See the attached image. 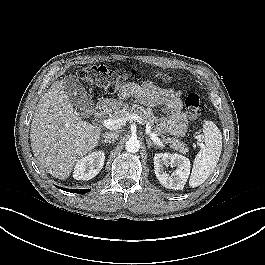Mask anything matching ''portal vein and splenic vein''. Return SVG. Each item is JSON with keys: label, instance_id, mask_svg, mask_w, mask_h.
I'll return each instance as SVG.
<instances>
[{"label": "portal vein and splenic vein", "instance_id": "obj_1", "mask_svg": "<svg viewBox=\"0 0 265 265\" xmlns=\"http://www.w3.org/2000/svg\"><path fill=\"white\" fill-rule=\"evenodd\" d=\"M129 120L138 121L140 123H142L143 121L140 116L132 113V114H128L125 117H121L118 119H106V120H103L102 123L107 129L118 130L121 128V126L125 124L126 121H129ZM146 132L148 133V135L150 136L153 142H155L160 147H164V144L162 143L160 138H158V136L151 131V126L149 124L146 125Z\"/></svg>", "mask_w": 265, "mask_h": 265}]
</instances>
